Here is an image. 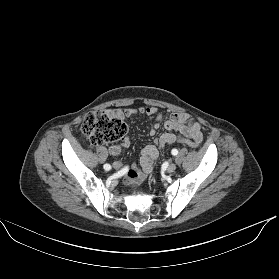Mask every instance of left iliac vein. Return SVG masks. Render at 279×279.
<instances>
[{
	"mask_svg": "<svg viewBox=\"0 0 279 279\" xmlns=\"http://www.w3.org/2000/svg\"><path fill=\"white\" fill-rule=\"evenodd\" d=\"M176 170V164L175 163H170L167 167V172L172 173Z\"/></svg>",
	"mask_w": 279,
	"mask_h": 279,
	"instance_id": "4c4485c4",
	"label": "left iliac vein"
}]
</instances>
